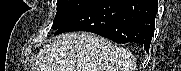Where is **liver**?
<instances>
[{
  "label": "liver",
  "instance_id": "1",
  "mask_svg": "<svg viewBox=\"0 0 181 71\" xmlns=\"http://www.w3.org/2000/svg\"><path fill=\"white\" fill-rule=\"evenodd\" d=\"M128 50L87 32L57 36L37 55L35 71H134Z\"/></svg>",
  "mask_w": 181,
  "mask_h": 71
}]
</instances>
